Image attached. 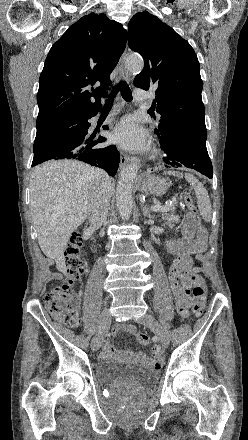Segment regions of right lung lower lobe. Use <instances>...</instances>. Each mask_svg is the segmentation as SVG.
Instances as JSON below:
<instances>
[{"instance_id": "98d812e1", "label": "right lung lower lobe", "mask_w": 248, "mask_h": 440, "mask_svg": "<svg viewBox=\"0 0 248 440\" xmlns=\"http://www.w3.org/2000/svg\"><path fill=\"white\" fill-rule=\"evenodd\" d=\"M100 107L78 110L37 127L32 167L50 159H76L115 176L120 160L116 146L100 147L105 138L88 135V120L99 112ZM103 128L108 129V126Z\"/></svg>"}]
</instances>
